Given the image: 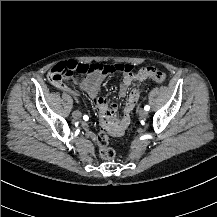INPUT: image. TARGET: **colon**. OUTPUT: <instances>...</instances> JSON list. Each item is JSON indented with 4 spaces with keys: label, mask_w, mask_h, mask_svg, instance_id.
I'll use <instances>...</instances> for the list:
<instances>
[{
    "label": "colon",
    "mask_w": 217,
    "mask_h": 217,
    "mask_svg": "<svg viewBox=\"0 0 217 217\" xmlns=\"http://www.w3.org/2000/svg\"><path fill=\"white\" fill-rule=\"evenodd\" d=\"M133 70L132 66L127 63H115V64H102L98 61H92L90 64H80L74 59H67L57 62L56 65L50 67L48 79L51 82L60 83L64 79H67L72 74L77 75H91L95 73H129ZM155 70L149 67L147 73ZM146 73V74H147ZM154 81L162 82L165 80V74L163 72L158 73L154 77ZM97 146L101 152V158L112 160L115 158V151L113 148L107 147V136L106 132L100 130L97 133Z\"/></svg>",
    "instance_id": "1"
}]
</instances>
